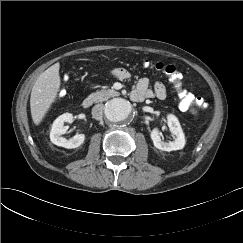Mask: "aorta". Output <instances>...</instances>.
<instances>
[{
  "instance_id": "aorta-1",
  "label": "aorta",
  "mask_w": 243,
  "mask_h": 243,
  "mask_svg": "<svg viewBox=\"0 0 243 243\" xmlns=\"http://www.w3.org/2000/svg\"><path fill=\"white\" fill-rule=\"evenodd\" d=\"M131 111L130 103L122 98L109 101L104 108L106 118L115 123H121L128 119Z\"/></svg>"
}]
</instances>
